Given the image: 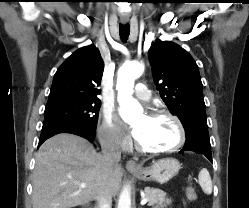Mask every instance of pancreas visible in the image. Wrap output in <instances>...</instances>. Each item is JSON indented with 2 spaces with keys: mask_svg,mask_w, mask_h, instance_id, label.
<instances>
[{
  "mask_svg": "<svg viewBox=\"0 0 249 208\" xmlns=\"http://www.w3.org/2000/svg\"><path fill=\"white\" fill-rule=\"evenodd\" d=\"M144 194L148 199V205L154 208H164L172 202L161 189L145 187Z\"/></svg>",
  "mask_w": 249,
  "mask_h": 208,
  "instance_id": "cf45deb5",
  "label": "pancreas"
}]
</instances>
